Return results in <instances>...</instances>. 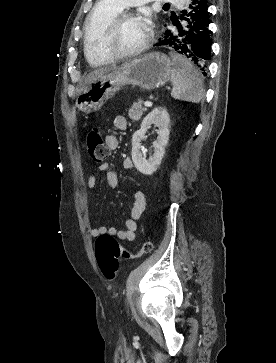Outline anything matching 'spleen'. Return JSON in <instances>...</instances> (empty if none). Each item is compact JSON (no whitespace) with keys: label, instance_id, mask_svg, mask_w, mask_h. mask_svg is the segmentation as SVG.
Returning <instances> with one entry per match:
<instances>
[{"label":"spleen","instance_id":"spleen-1","mask_svg":"<svg viewBox=\"0 0 276 363\" xmlns=\"http://www.w3.org/2000/svg\"><path fill=\"white\" fill-rule=\"evenodd\" d=\"M171 58L173 64L171 96L181 101L199 103L204 96L200 73L186 58L178 54H171Z\"/></svg>","mask_w":276,"mask_h":363}]
</instances>
